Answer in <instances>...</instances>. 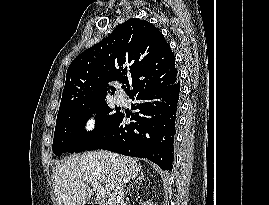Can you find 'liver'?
Wrapping results in <instances>:
<instances>
[{"instance_id":"liver-1","label":"liver","mask_w":269,"mask_h":205,"mask_svg":"<svg viewBox=\"0 0 269 205\" xmlns=\"http://www.w3.org/2000/svg\"><path fill=\"white\" fill-rule=\"evenodd\" d=\"M141 166L137 160L106 151L74 155L57 165L54 175L57 205H84L91 198V182H97L108 195L117 185L138 177Z\"/></svg>"}]
</instances>
